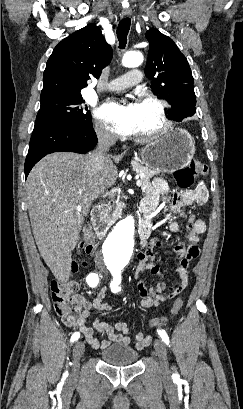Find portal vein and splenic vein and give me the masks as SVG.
Listing matches in <instances>:
<instances>
[{"mask_svg": "<svg viewBox=\"0 0 243 409\" xmlns=\"http://www.w3.org/2000/svg\"><path fill=\"white\" fill-rule=\"evenodd\" d=\"M136 185H137L138 187H140V186L142 185V182H141L140 179H137ZM120 191H121L120 188H113V189L110 190V192L107 193V194H111V193H115V192H120ZM75 209L81 210V206H80V205H77V206L75 207Z\"/></svg>", "mask_w": 243, "mask_h": 409, "instance_id": "1", "label": "portal vein and splenic vein"}]
</instances>
